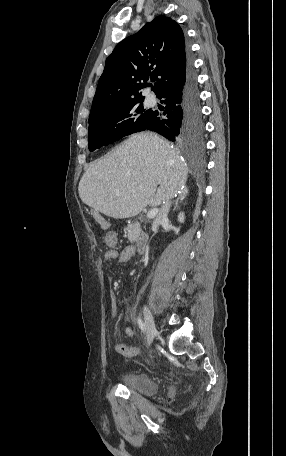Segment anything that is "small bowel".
Wrapping results in <instances>:
<instances>
[{"mask_svg": "<svg viewBox=\"0 0 286 456\" xmlns=\"http://www.w3.org/2000/svg\"><path fill=\"white\" fill-rule=\"evenodd\" d=\"M105 243L109 247V249L105 252L104 254V259L108 262L114 261L119 264L128 262L131 260L135 255H136V250L134 246H126L125 248L118 250L115 248L117 244V236L114 232H108L105 236ZM110 302H111V308H112V315L113 317H116L117 315V300L116 296L113 292L110 294ZM128 317H131L130 314H128ZM125 333L132 337L134 335V332L130 328L125 329ZM116 351L118 354L124 356V357H132L136 354L138 351V346L135 345H127V344H117L116 345Z\"/></svg>", "mask_w": 286, "mask_h": 456, "instance_id": "c3829d8e", "label": "small bowel"}]
</instances>
